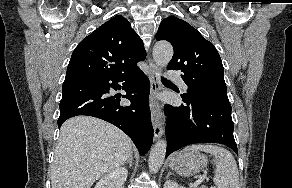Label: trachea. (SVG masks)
Returning a JSON list of instances; mask_svg holds the SVG:
<instances>
[{
	"label": "trachea",
	"instance_id": "trachea-1",
	"mask_svg": "<svg viewBox=\"0 0 292 188\" xmlns=\"http://www.w3.org/2000/svg\"><path fill=\"white\" fill-rule=\"evenodd\" d=\"M162 82L170 83V81L165 78H162Z\"/></svg>",
	"mask_w": 292,
	"mask_h": 188
}]
</instances>
